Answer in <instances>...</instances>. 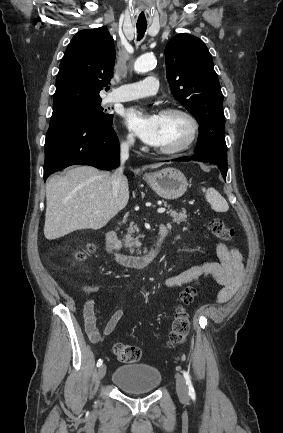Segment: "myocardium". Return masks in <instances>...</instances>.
<instances>
[{
	"label": "myocardium",
	"instance_id": "1",
	"mask_svg": "<svg viewBox=\"0 0 283 433\" xmlns=\"http://www.w3.org/2000/svg\"><path fill=\"white\" fill-rule=\"evenodd\" d=\"M161 114H180L184 116L191 125V132L188 139L177 149L170 151H161V155L165 157H178L188 152L197 141L200 134V122L197 117L189 110L183 107H166L161 111Z\"/></svg>",
	"mask_w": 283,
	"mask_h": 433
}]
</instances>
